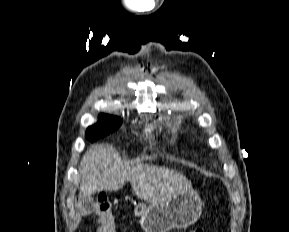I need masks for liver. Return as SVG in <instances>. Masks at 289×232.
I'll use <instances>...</instances> for the list:
<instances>
[{
    "instance_id": "liver-1",
    "label": "liver",
    "mask_w": 289,
    "mask_h": 232,
    "mask_svg": "<svg viewBox=\"0 0 289 232\" xmlns=\"http://www.w3.org/2000/svg\"><path fill=\"white\" fill-rule=\"evenodd\" d=\"M79 197H90L100 191H117L130 182L135 195L150 203H163L192 189L191 182L172 169L154 165L118 164V153L108 144H96L80 162ZM85 214H88L83 209Z\"/></svg>"
}]
</instances>
